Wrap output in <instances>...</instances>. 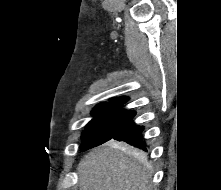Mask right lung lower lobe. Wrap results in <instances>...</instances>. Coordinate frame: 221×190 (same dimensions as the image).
I'll return each mask as SVG.
<instances>
[{"label":"right lung lower lobe","mask_w":221,"mask_h":190,"mask_svg":"<svg viewBox=\"0 0 221 190\" xmlns=\"http://www.w3.org/2000/svg\"><path fill=\"white\" fill-rule=\"evenodd\" d=\"M143 126L137 125L134 121H130L120 132H118L112 139L117 141H124L134 147L147 151L146 143L143 140L142 132Z\"/></svg>","instance_id":"98d812e1"}]
</instances>
